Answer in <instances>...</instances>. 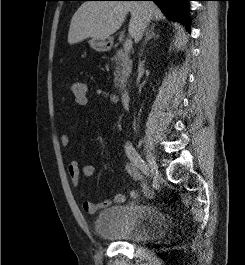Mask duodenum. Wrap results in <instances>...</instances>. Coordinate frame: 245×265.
<instances>
[{
    "instance_id": "duodenum-1",
    "label": "duodenum",
    "mask_w": 245,
    "mask_h": 265,
    "mask_svg": "<svg viewBox=\"0 0 245 265\" xmlns=\"http://www.w3.org/2000/svg\"><path fill=\"white\" fill-rule=\"evenodd\" d=\"M121 96H122V102H123V105L126 107V108H129L130 105H131V94L129 91L127 90H123L121 92Z\"/></svg>"
}]
</instances>
